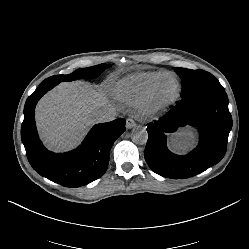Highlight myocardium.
<instances>
[{
	"mask_svg": "<svg viewBox=\"0 0 249 249\" xmlns=\"http://www.w3.org/2000/svg\"><path fill=\"white\" fill-rule=\"evenodd\" d=\"M169 79H175L177 86L175 94L165 100L157 98V90L160 85ZM182 84L180 79L172 73L165 74L156 79L147 91L140 97L137 103V112L142 118L152 119L163 116L174 107L181 98Z\"/></svg>",
	"mask_w": 249,
	"mask_h": 249,
	"instance_id": "obj_1",
	"label": "myocardium"
}]
</instances>
